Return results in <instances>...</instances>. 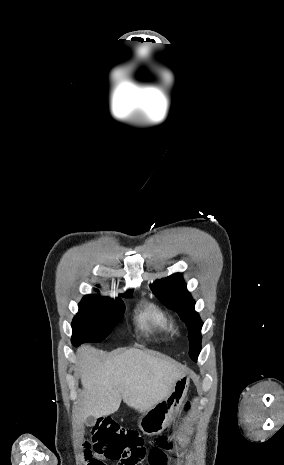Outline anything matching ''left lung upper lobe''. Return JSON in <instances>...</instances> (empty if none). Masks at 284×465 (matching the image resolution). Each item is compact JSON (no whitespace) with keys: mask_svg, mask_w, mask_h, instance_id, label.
<instances>
[{"mask_svg":"<svg viewBox=\"0 0 284 465\" xmlns=\"http://www.w3.org/2000/svg\"><path fill=\"white\" fill-rule=\"evenodd\" d=\"M150 288L168 308L176 311L185 322L189 330V356L193 361H197L201 350V328L203 322L194 310L195 301L186 289L182 274L176 273L167 278L156 280L150 285Z\"/></svg>","mask_w":284,"mask_h":465,"instance_id":"left-lung-upper-lobe-1","label":"left lung upper lobe"}]
</instances>
